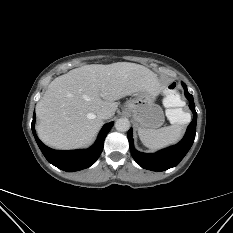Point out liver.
Returning <instances> with one entry per match:
<instances>
[{"instance_id":"6515ba94","label":"liver","mask_w":233,"mask_h":233,"mask_svg":"<svg viewBox=\"0 0 233 233\" xmlns=\"http://www.w3.org/2000/svg\"><path fill=\"white\" fill-rule=\"evenodd\" d=\"M160 91L155 74L130 62L84 65L55 78L36 105L37 133L46 145L75 149L89 144L103 124L102 109L137 91Z\"/></svg>"}]
</instances>
